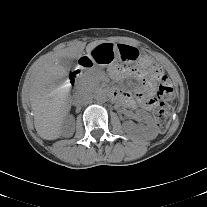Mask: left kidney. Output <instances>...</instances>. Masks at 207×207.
Here are the masks:
<instances>
[{
	"instance_id": "obj_1",
	"label": "left kidney",
	"mask_w": 207,
	"mask_h": 207,
	"mask_svg": "<svg viewBox=\"0 0 207 207\" xmlns=\"http://www.w3.org/2000/svg\"><path fill=\"white\" fill-rule=\"evenodd\" d=\"M137 114L145 120L146 126L136 128L130 123H125V131L128 134H135L137 131H140L142 136L147 140H153L154 138H156L158 135V127L152 116L148 112L142 110H138Z\"/></svg>"
}]
</instances>
